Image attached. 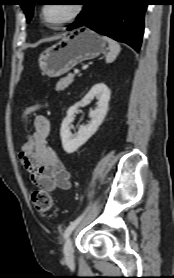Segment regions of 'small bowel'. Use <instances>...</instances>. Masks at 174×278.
Returning <instances> with one entry per match:
<instances>
[{
  "mask_svg": "<svg viewBox=\"0 0 174 278\" xmlns=\"http://www.w3.org/2000/svg\"><path fill=\"white\" fill-rule=\"evenodd\" d=\"M50 128L49 119L44 115H37L33 123L34 150L30 154H19V159L33 185L46 192L68 190L71 187V175L49 145Z\"/></svg>",
  "mask_w": 174,
  "mask_h": 278,
  "instance_id": "c3829d8e",
  "label": "small bowel"
}]
</instances>
